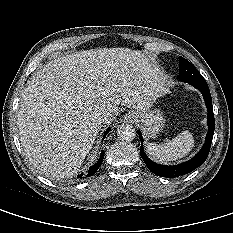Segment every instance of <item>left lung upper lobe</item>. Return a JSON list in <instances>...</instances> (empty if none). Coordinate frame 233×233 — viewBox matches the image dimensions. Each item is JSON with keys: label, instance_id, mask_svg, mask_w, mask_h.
I'll list each match as a JSON object with an SVG mask.
<instances>
[{"label": "left lung upper lobe", "instance_id": "left-lung-upper-lobe-1", "mask_svg": "<svg viewBox=\"0 0 233 233\" xmlns=\"http://www.w3.org/2000/svg\"><path fill=\"white\" fill-rule=\"evenodd\" d=\"M178 79L183 82H205L206 80L199 71L188 60L179 57V76Z\"/></svg>", "mask_w": 233, "mask_h": 233}]
</instances>
